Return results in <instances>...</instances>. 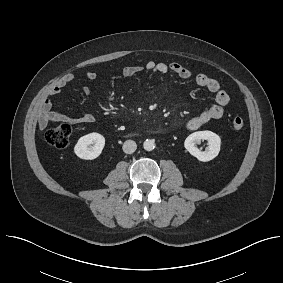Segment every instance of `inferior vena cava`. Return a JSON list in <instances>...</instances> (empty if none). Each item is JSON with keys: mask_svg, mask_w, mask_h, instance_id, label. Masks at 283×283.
Listing matches in <instances>:
<instances>
[{"mask_svg": "<svg viewBox=\"0 0 283 283\" xmlns=\"http://www.w3.org/2000/svg\"><path fill=\"white\" fill-rule=\"evenodd\" d=\"M137 149V144L133 140H127L123 144V151L126 154H132Z\"/></svg>", "mask_w": 283, "mask_h": 283, "instance_id": "602c4592", "label": "inferior vena cava"}]
</instances>
